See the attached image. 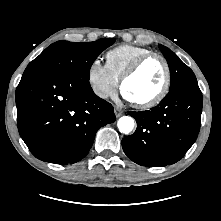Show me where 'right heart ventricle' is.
Wrapping results in <instances>:
<instances>
[{
	"label": "right heart ventricle",
	"instance_id": "obj_1",
	"mask_svg": "<svg viewBox=\"0 0 221 221\" xmlns=\"http://www.w3.org/2000/svg\"><path fill=\"white\" fill-rule=\"evenodd\" d=\"M150 52H152L150 49L139 45H118L107 51L105 65L113 78L118 81L139 57Z\"/></svg>",
	"mask_w": 221,
	"mask_h": 221
}]
</instances>
